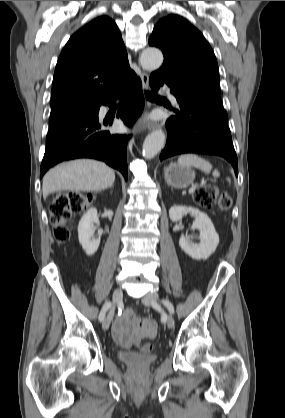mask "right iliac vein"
<instances>
[{"label": "right iliac vein", "instance_id": "63e3f726", "mask_svg": "<svg viewBox=\"0 0 285 418\" xmlns=\"http://www.w3.org/2000/svg\"><path fill=\"white\" fill-rule=\"evenodd\" d=\"M122 297H123V292H122V289H121V288H117V289H115V290H114V292H113V296H112V299H113V304H114V305H113V307L111 308V310H110V312H109L108 316L104 319V321H103V323H102V328H103L104 330H108V329H109V326H110V323H111V319H112L113 314H114V309H115V306H116L118 303H120V302H121Z\"/></svg>", "mask_w": 285, "mask_h": 418}]
</instances>
